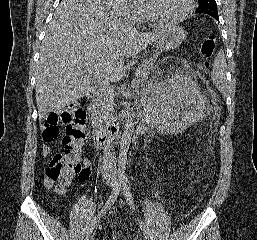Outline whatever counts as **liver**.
<instances>
[{"label": "liver", "instance_id": "6515ba94", "mask_svg": "<svg viewBox=\"0 0 257 240\" xmlns=\"http://www.w3.org/2000/svg\"><path fill=\"white\" fill-rule=\"evenodd\" d=\"M164 27L140 32L102 0H63L40 49L35 89L40 118L61 112L89 91L86 63L99 64L105 81H119L127 71L125 60L151 45Z\"/></svg>", "mask_w": 257, "mask_h": 240}]
</instances>
